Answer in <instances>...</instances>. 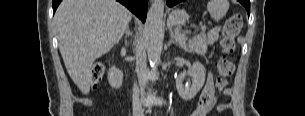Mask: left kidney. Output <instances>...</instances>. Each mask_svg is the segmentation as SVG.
I'll use <instances>...</instances> for the list:
<instances>
[{"instance_id": "1", "label": "left kidney", "mask_w": 305, "mask_h": 116, "mask_svg": "<svg viewBox=\"0 0 305 116\" xmlns=\"http://www.w3.org/2000/svg\"><path fill=\"white\" fill-rule=\"evenodd\" d=\"M186 76L192 78V84H183ZM205 76V67L198 61L194 62L187 72L180 73L176 78V88L179 96L186 101L193 99L203 87Z\"/></svg>"}]
</instances>
